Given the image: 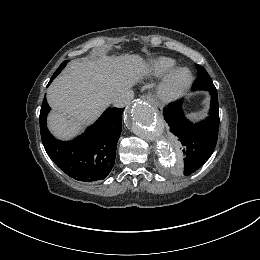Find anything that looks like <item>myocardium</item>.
Segmentation results:
<instances>
[{
    "label": "myocardium",
    "mask_w": 260,
    "mask_h": 260,
    "mask_svg": "<svg viewBox=\"0 0 260 260\" xmlns=\"http://www.w3.org/2000/svg\"><path fill=\"white\" fill-rule=\"evenodd\" d=\"M187 73L185 81H178L177 76L180 72ZM193 83V73L187 66L173 67L164 76L162 82L158 86V94L164 99H174L184 94Z\"/></svg>",
    "instance_id": "1"
}]
</instances>
